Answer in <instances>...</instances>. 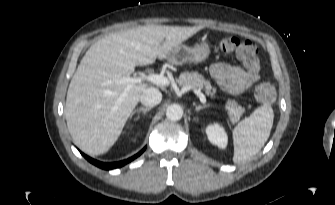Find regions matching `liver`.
Returning <instances> with one entry per match:
<instances>
[{"instance_id": "6515ba94", "label": "liver", "mask_w": 335, "mask_h": 205, "mask_svg": "<svg viewBox=\"0 0 335 205\" xmlns=\"http://www.w3.org/2000/svg\"><path fill=\"white\" fill-rule=\"evenodd\" d=\"M201 27L149 25L110 34L85 53L67 91L65 118L74 143L89 155L106 153L139 102L145 83H120L135 67L168 59Z\"/></svg>"}]
</instances>
